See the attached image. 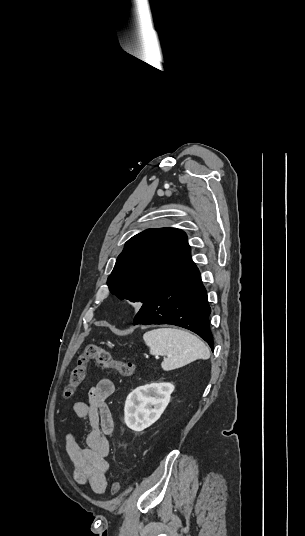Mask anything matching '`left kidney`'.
<instances>
[{
	"instance_id": "left-kidney-1",
	"label": "left kidney",
	"mask_w": 305,
	"mask_h": 536,
	"mask_svg": "<svg viewBox=\"0 0 305 536\" xmlns=\"http://www.w3.org/2000/svg\"><path fill=\"white\" fill-rule=\"evenodd\" d=\"M173 390V384L159 382L139 386L130 392L124 408L126 426L134 432H142L152 426L167 408Z\"/></svg>"
}]
</instances>
